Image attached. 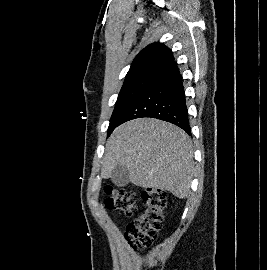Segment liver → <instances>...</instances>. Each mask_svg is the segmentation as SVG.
Masks as SVG:
<instances>
[{"mask_svg":"<svg viewBox=\"0 0 267 270\" xmlns=\"http://www.w3.org/2000/svg\"><path fill=\"white\" fill-rule=\"evenodd\" d=\"M126 167L129 181L142 188L163 189L179 199L190 193L194 173L192 142L177 126L138 118L117 127L106 143L101 176Z\"/></svg>","mask_w":267,"mask_h":270,"instance_id":"liver-1","label":"liver"}]
</instances>
